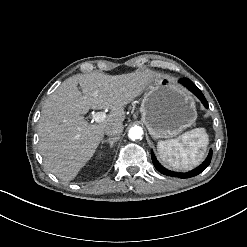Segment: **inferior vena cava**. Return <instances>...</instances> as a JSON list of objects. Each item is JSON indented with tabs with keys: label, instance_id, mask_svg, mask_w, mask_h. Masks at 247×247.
Wrapping results in <instances>:
<instances>
[{
	"label": "inferior vena cava",
	"instance_id": "obj_1",
	"mask_svg": "<svg viewBox=\"0 0 247 247\" xmlns=\"http://www.w3.org/2000/svg\"><path fill=\"white\" fill-rule=\"evenodd\" d=\"M124 126L121 122H114L106 126L105 134L111 137H117L122 134Z\"/></svg>",
	"mask_w": 247,
	"mask_h": 247
}]
</instances>
